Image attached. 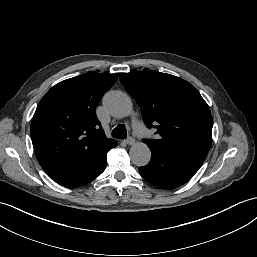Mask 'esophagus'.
Here are the masks:
<instances>
[{
	"label": "esophagus",
	"mask_w": 257,
	"mask_h": 257,
	"mask_svg": "<svg viewBox=\"0 0 257 257\" xmlns=\"http://www.w3.org/2000/svg\"><path fill=\"white\" fill-rule=\"evenodd\" d=\"M126 144L128 145H132L135 143V139L132 138V137H128L126 140H125Z\"/></svg>",
	"instance_id": "1"
}]
</instances>
